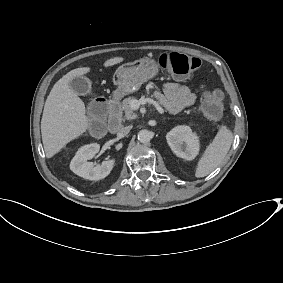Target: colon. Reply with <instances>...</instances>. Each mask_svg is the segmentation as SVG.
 I'll return each mask as SVG.
<instances>
[{"label": "colon", "instance_id": "obj_1", "mask_svg": "<svg viewBox=\"0 0 283 283\" xmlns=\"http://www.w3.org/2000/svg\"><path fill=\"white\" fill-rule=\"evenodd\" d=\"M162 68L178 77H186L200 67V60L180 54L177 52L164 53L159 59ZM202 109L209 120H218L223 112V93L220 89L214 88L204 92L202 97ZM107 111L105 99L96 98L89 106L91 125L95 132L103 128V117Z\"/></svg>", "mask_w": 283, "mask_h": 283}]
</instances>
